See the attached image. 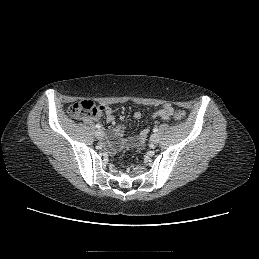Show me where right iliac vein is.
Returning <instances> with one entry per match:
<instances>
[{
    "mask_svg": "<svg viewBox=\"0 0 259 259\" xmlns=\"http://www.w3.org/2000/svg\"><path fill=\"white\" fill-rule=\"evenodd\" d=\"M95 136H96L97 139H102L103 136H104V133H103L102 130L99 129V130H97V131L95 132Z\"/></svg>",
    "mask_w": 259,
    "mask_h": 259,
    "instance_id": "right-iliac-vein-1",
    "label": "right iliac vein"
}]
</instances>
